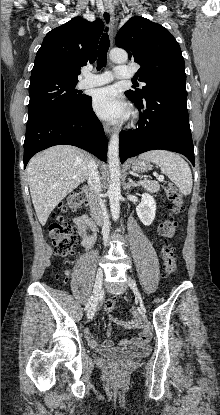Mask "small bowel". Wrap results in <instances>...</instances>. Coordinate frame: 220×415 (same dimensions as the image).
Returning <instances> with one entry per match:
<instances>
[{"label": "small bowel", "mask_w": 220, "mask_h": 415, "mask_svg": "<svg viewBox=\"0 0 220 415\" xmlns=\"http://www.w3.org/2000/svg\"><path fill=\"white\" fill-rule=\"evenodd\" d=\"M74 225L77 229L78 236L81 241V245L86 250H91L96 241V225L95 223L88 217V215L84 214L81 216H77L74 218ZM83 334L85 339L87 340L88 344L93 348H98L101 351L109 350L113 342L111 339H108L102 343H99L93 336L91 330L88 327L83 329ZM144 340L142 335L132 339V340H120L118 341L117 345L119 347H126V346H140L143 345Z\"/></svg>", "instance_id": "obj_1"}]
</instances>
